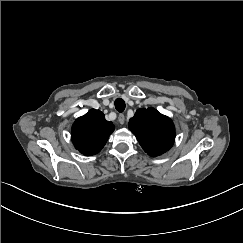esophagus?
I'll return each mask as SVG.
<instances>
[{
    "label": "esophagus",
    "instance_id": "obj_1",
    "mask_svg": "<svg viewBox=\"0 0 243 243\" xmlns=\"http://www.w3.org/2000/svg\"><path fill=\"white\" fill-rule=\"evenodd\" d=\"M118 122L123 125L125 123V116L123 114H119Z\"/></svg>",
    "mask_w": 243,
    "mask_h": 243
}]
</instances>
